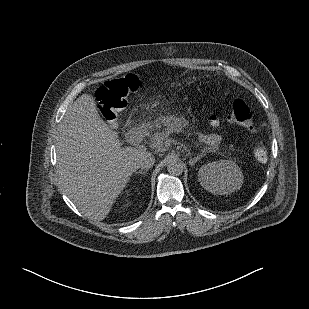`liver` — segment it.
Returning <instances> with one entry per match:
<instances>
[{
	"instance_id": "6515ba94",
	"label": "liver",
	"mask_w": 309,
	"mask_h": 309,
	"mask_svg": "<svg viewBox=\"0 0 309 309\" xmlns=\"http://www.w3.org/2000/svg\"><path fill=\"white\" fill-rule=\"evenodd\" d=\"M57 164L67 196L88 218L103 220L116 197L150 153L121 147L100 117L95 99L83 94L69 107L59 128Z\"/></svg>"
}]
</instances>
